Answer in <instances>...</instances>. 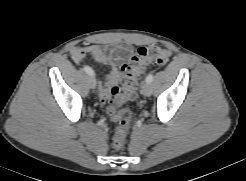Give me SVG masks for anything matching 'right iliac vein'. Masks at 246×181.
<instances>
[{
  "mask_svg": "<svg viewBox=\"0 0 246 181\" xmlns=\"http://www.w3.org/2000/svg\"><path fill=\"white\" fill-rule=\"evenodd\" d=\"M88 81H89L90 88L94 89L95 88V85H96V82H95L94 77L93 76H90L88 78Z\"/></svg>",
  "mask_w": 246,
  "mask_h": 181,
  "instance_id": "right-iliac-vein-1",
  "label": "right iliac vein"
}]
</instances>
